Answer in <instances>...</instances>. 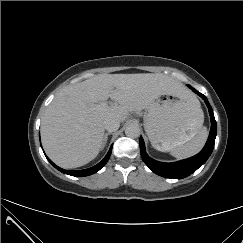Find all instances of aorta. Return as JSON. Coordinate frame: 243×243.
<instances>
[{
	"label": "aorta",
	"instance_id": "762f6f07",
	"mask_svg": "<svg viewBox=\"0 0 243 243\" xmlns=\"http://www.w3.org/2000/svg\"><path fill=\"white\" fill-rule=\"evenodd\" d=\"M125 134L130 138H137L140 135V128L135 124H131L126 127Z\"/></svg>",
	"mask_w": 243,
	"mask_h": 243
}]
</instances>
